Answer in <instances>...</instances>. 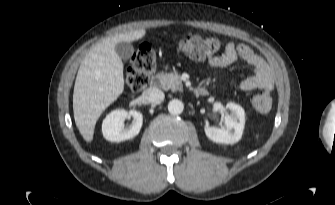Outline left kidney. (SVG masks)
<instances>
[{
	"mask_svg": "<svg viewBox=\"0 0 335 205\" xmlns=\"http://www.w3.org/2000/svg\"><path fill=\"white\" fill-rule=\"evenodd\" d=\"M226 109L230 111V114L226 113L224 126L217 128L205 124L204 131L206 136L213 142L234 144L242 137L245 125V112L240 105L232 102L227 103Z\"/></svg>",
	"mask_w": 335,
	"mask_h": 205,
	"instance_id": "1",
	"label": "left kidney"
}]
</instances>
